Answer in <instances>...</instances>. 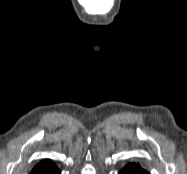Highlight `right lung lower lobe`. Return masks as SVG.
I'll return each instance as SVG.
<instances>
[{
  "instance_id": "right-lung-lower-lobe-1",
  "label": "right lung lower lobe",
  "mask_w": 187,
  "mask_h": 174,
  "mask_svg": "<svg viewBox=\"0 0 187 174\" xmlns=\"http://www.w3.org/2000/svg\"><path fill=\"white\" fill-rule=\"evenodd\" d=\"M49 174H60V172L57 171V172H53V173H49Z\"/></svg>"
}]
</instances>
